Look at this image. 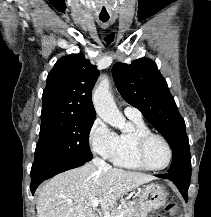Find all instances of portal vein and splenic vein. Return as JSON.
I'll return each mask as SVG.
<instances>
[{
    "instance_id": "18ae733b",
    "label": "portal vein and splenic vein",
    "mask_w": 211,
    "mask_h": 217,
    "mask_svg": "<svg viewBox=\"0 0 211 217\" xmlns=\"http://www.w3.org/2000/svg\"><path fill=\"white\" fill-rule=\"evenodd\" d=\"M98 204H99V199L98 198L93 199L92 202H91V206L93 208H96L98 206ZM124 213L125 212L122 211L120 214H118L116 216H111L108 212H104V217H123Z\"/></svg>"
}]
</instances>
